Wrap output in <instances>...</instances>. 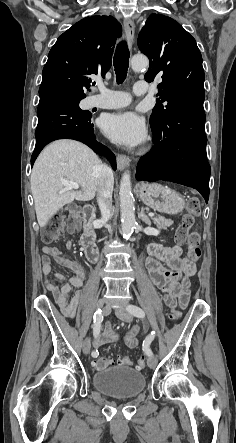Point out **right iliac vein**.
Instances as JSON below:
<instances>
[{"label":"right iliac vein","instance_id":"right-iliac-vein-1","mask_svg":"<svg viewBox=\"0 0 236 443\" xmlns=\"http://www.w3.org/2000/svg\"><path fill=\"white\" fill-rule=\"evenodd\" d=\"M110 312H111V307H110L109 305H106V306L103 308V315H105V316H106V315H109ZM90 348H91V341H90V338L87 337V338L84 340L83 345H82L83 353H84V354H88L89 351H90Z\"/></svg>","mask_w":236,"mask_h":443}]
</instances>
